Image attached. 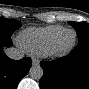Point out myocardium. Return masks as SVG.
Wrapping results in <instances>:
<instances>
[{
    "label": "myocardium",
    "instance_id": "myocardium-1",
    "mask_svg": "<svg viewBox=\"0 0 89 89\" xmlns=\"http://www.w3.org/2000/svg\"><path fill=\"white\" fill-rule=\"evenodd\" d=\"M64 33H70L72 35V39L67 45L59 48L56 46V42L59 39V37ZM76 41H77L76 31L72 28H64L62 31H60L56 36H54L51 39L50 44L48 45L44 55L51 57H59L65 55L74 48Z\"/></svg>",
    "mask_w": 89,
    "mask_h": 89
}]
</instances>
